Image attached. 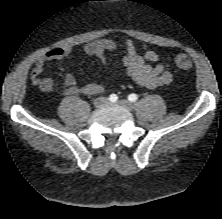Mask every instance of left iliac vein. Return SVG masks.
I'll return each mask as SVG.
<instances>
[{
    "label": "left iliac vein",
    "mask_w": 222,
    "mask_h": 219,
    "mask_svg": "<svg viewBox=\"0 0 222 219\" xmlns=\"http://www.w3.org/2000/svg\"><path fill=\"white\" fill-rule=\"evenodd\" d=\"M116 104L118 106L123 107L127 111H131L133 109V104L130 101H128V100L121 99Z\"/></svg>",
    "instance_id": "left-iliac-vein-1"
}]
</instances>
